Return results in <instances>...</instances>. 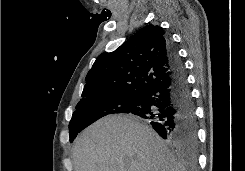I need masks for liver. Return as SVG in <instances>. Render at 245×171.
Here are the masks:
<instances>
[{
	"instance_id": "6515ba94",
	"label": "liver",
	"mask_w": 245,
	"mask_h": 171,
	"mask_svg": "<svg viewBox=\"0 0 245 171\" xmlns=\"http://www.w3.org/2000/svg\"><path fill=\"white\" fill-rule=\"evenodd\" d=\"M74 171H186L149 126L131 115L106 116L75 140Z\"/></svg>"
}]
</instances>
